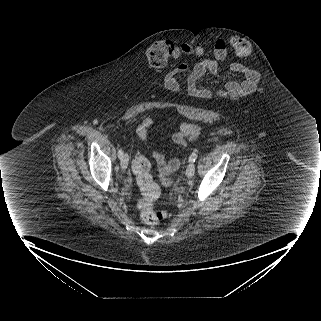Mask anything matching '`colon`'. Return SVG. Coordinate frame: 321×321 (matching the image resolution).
Returning a JSON list of instances; mask_svg holds the SVG:
<instances>
[{
	"label": "colon",
	"instance_id": "1",
	"mask_svg": "<svg viewBox=\"0 0 321 321\" xmlns=\"http://www.w3.org/2000/svg\"><path fill=\"white\" fill-rule=\"evenodd\" d=\"M231 49L238 56L244 57L250 54L251 45L248 40L234 36L229 39ZM204 54V49L200 46H190L187 44H177L169 40H161L153 43L146 51L148 63L154 69H163L175 58L184 56L200 57ZM133 171L137 184L141 191V199L138 202V210L141 221L149 226L158 224L164 217L163 212L155 210V201L158 199L160 190L153 181L150 174L149 161L141 154H138L133 161ZM166 186L172 185V179H163Z\"/></svg>",
	"mask_w": 321,
	"mask_h": 321
}]
</instances>
